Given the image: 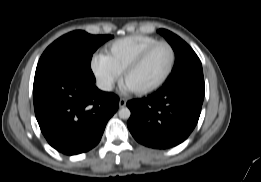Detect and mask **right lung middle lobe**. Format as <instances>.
I'll return each mask as SVG.
<instances>
[{
  "label": "right lung middle lobe",
  "mask_w": 261,
  "mask_h": 182,
  "mask_svg": "<svg viewBox=\"0 0 261 182\" xmlns=\"http://www.w3.org/2000/svg\"><path fill=\"white\" fill-rule=\"evenodd\" d=\"M112 35H90L77 30L54 41L42 54L35 76L52 69L68 66L75 70L85 82L95 83L91 71V58L96 49Z\"/></svg>",
  "instance_id": "dd1d6c3e"
}]
</instances>
